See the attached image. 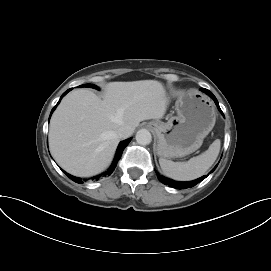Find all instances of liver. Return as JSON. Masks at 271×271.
Listing matches in <instances>:
<instances>
[{
  "instance_id": "1",
  "label": "liver",
  "mask_w": 271,
  "mask_h": 271,
  "mask_svg": "<svg viewBox=\"0 0 271 271\" xmlns=\"http://www.w3.org/2000/svg\"><path fill=\"white\" fill-rule=\"evenodd\" d=\"M169 98L155 80L110 82L104 98L89 89L67 94L52 115L49 146L61 168L78 177L104 171L111 163L121 126L161 119Z\"/></svg>"
}]
</instances>
